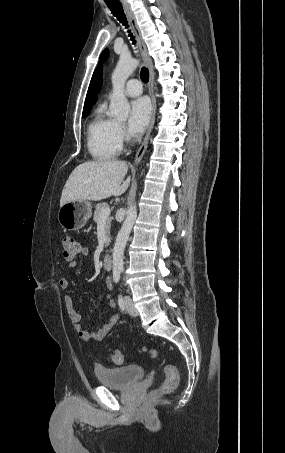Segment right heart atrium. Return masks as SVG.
<instances>
[{"label": "right heart atrium", "instance_id": "1", "mask_svg": "<svg viewBox=\"0 0 285 453\" xmlns=\"http://www.w3.org/2000/svg\"><path fill=\"white\" fill-rule=\"evenodd\" d=\"M118 133H119V137H120L121 142L127 140V134H126L125 129H124V127L122 125H119Z\"/></svg>", "mask_w": 285, "mask_h": 453}]
</instances>
